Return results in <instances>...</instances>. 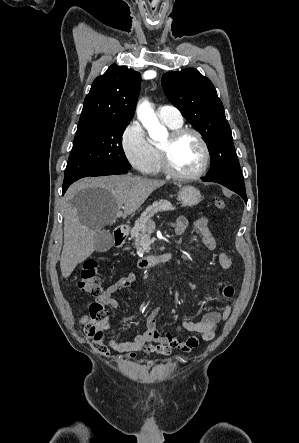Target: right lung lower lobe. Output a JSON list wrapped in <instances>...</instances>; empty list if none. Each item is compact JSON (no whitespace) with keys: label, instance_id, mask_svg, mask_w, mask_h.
<instances>
[{"label":"right lung lower lobe","instance_id":"right-lung-lower-lobe-1","mask_svg":"<svg viewBox=\"0 0 299 443\" xmlns=\"http://www.w3.org/2000/svg\"><path fill=\"white\" fill-rule=\"evenodd\" d=\"M128 172V169L126 168H113V169H108V170H104L101 172H98L92 176H103V175H116V174H125ZM70 184L67 185H63L62 190H63V194L65 193V191L67 190V188L69 187Z\"/></svg>","mask_w":299,"mask_h":443}]
</instances>
